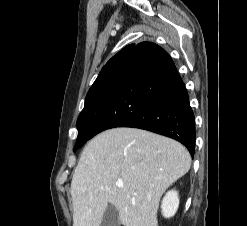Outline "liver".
Masks as SVG:
<instances>
[{
	"instance_id": "obj_1",
	"label": "liver",
	"mask_w": 247,
	"mask_h": 226,
	"mask_svg": "<svg viewBox=\"0 0 247 226\" xmlns=\"http://www.w3.org/2000/svg\"><path fill=\"white\" fill-rule=\"evenodd\" d=\"M190 166L189 152L173 139L126 127L100 133L73 174V226H100L108 204L124 226H158L161 196Z\"/></svg>"
}]
</instances>
